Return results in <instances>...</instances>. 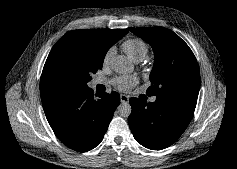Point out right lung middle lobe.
<instances>
[{
  "instance_id": "dd1d6c3e",
  "label": "right lung middle lobe",
  "mask_w": 237,
  "mask_h": 169,
  "mask_svg": "<svg viewBox=\"0 0 237 169\" xmlns=\"http://www.w3.org/2000/svg\"><path fill=\"white\" fill-rule=\"evenodd\" d=\"M104 56L94 47L79 41H65L52 53L46 68V78L69 88H82L91 74L102 68Z\"/></svg>"
}]
</instances>
